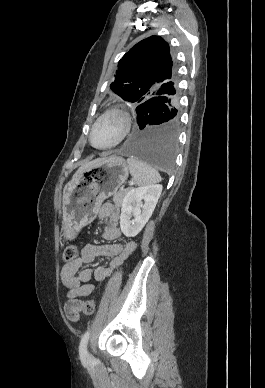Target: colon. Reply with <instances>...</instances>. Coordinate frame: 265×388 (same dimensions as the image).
I'll list each match as a JSON object with an SVG mask.
<instances>
[{
    "label": "colon",
    "instance_id": "1",
    "mask_svg": "<svg viewBox=\"0 0 265 388\" xmlns=\"http://www.w3.org/2000/svg\"><path fill=\"white\" fill-rule=\"evenodd\" d=\"M78 248L75 245H68L63 252V259L70 263L78 257ZM85 314L91 315L95 310V304L91 300L82 302V309Z\"/></svg>",
    "mask_w": 265,
    "mask_h": 388
}]
</instances>
